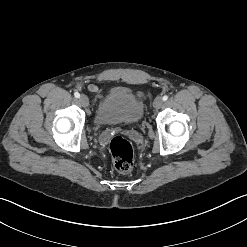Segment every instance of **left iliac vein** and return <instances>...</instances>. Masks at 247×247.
Listing matches in <instances>:
<instances>
[{
	"label": "left iliac vein",
	"instance_id": "4c4485c4",
	"mask_svg": "<svg viewBox=\"0 0 247 247\" xmlns=\"http://www.w3.org/2000/svg\"><path fill=\"white\" fill-rule=\"evenodd\" d=\"M162 105H163V99L161 97L155 98L154 103H153V106L156 109H158V108L162 107Z\"/></svg>",
	"mask_w": 247,
	"mask_h": 247
}]
</instances>
